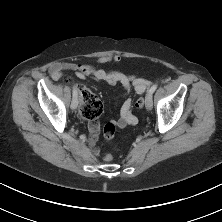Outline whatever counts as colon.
Listing matches in <instances>:
<instances>
[{"label": "colon", "instance_id": "obj_1", "mask_svg": "<svg viewBox=\"0 0 222 222\" xmlns=\"http://www.w3.org/2000/svg\"><path fill=\"white\" fill-rule=\"evenodd\" d=\"M80 95L82 100L81 116L85 120H89L93 117H97L102 112V103L99 98L87 88L80 89ZM144 105L143 98L137 100L136 106L142 108ZM115 132V126L113 123H107L104 127V135L107 139H112ZM106 160H110L111 156L106 155Z\"/></svg>", "mask_w": 222, "mask_h": 222}]
</instances>
